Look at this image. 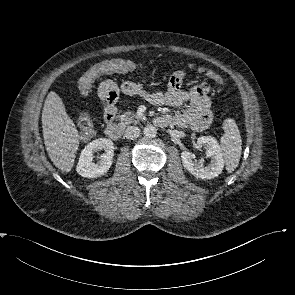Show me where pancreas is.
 <instances>
[{
	"label": "pancreas",
	"mask_w": 295,
	"mask_h": 295,
	"mask_svg": "<svg viewBox=\"0 0 295 295\" xmlns=\"http://www.w3.org/2000/svg\"><path fill=\"white\" fill-rule=\"evenodd\" d=\"M121 124L129 125L132 123H138L140 120L143 119L142 115L136 114L131 111L124 112L123 114L118 116Z\"/></svg>",
	"instance_id": "cf45deb5"
}]
</instances>
